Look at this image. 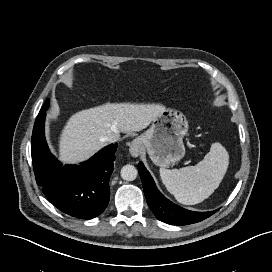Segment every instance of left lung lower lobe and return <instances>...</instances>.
Returning <instances> with one entry per match:
<instances>
[{"label":"left lung lower lobe","instance_id":"left-lung-lower-lobe-1","mask_svg":"<svg viewBox=\"0 0 272 272\" xmlns=\"http://www.w3.org/2000/svg\"><path fill=\"white\" fill-rule=\"evenodd\" d=\"M147 203L156 218L171 225H188L200 222L217 210L210 212H193L183 209L166 199L156 188L155 182L142 162L138 164Z\"/></svg>","mask_w":272,"mask_h":272}]
</instances>
